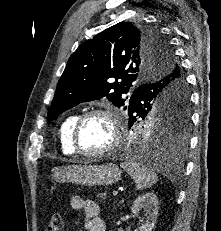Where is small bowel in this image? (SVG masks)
I'll list each match as a JSON object with an SVG mask.
<instances>
[{
  "label": "small bowel",
  "instance_id": "1",
  "mask_svg": "<svg viewBox=\"0 0 221 231\" xmlns=\"http://www.w3.org/2000/svg\"><path fill=\"white\" fill-rule=\"evenodd\" d=\"M70 206L74 210H84V225L87 231H107L105 221L99 216L100 208L96 202L75 195L70 198Z\"/></svg>",
  "mask_w": 221,
  "mask_h": 231
}]
</instances>
